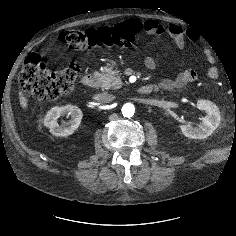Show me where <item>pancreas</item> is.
<instances>
[{
	"label": "pancreas",
	"mask_w": 236,
	"mask_h": 236,
	"mask_svg": "<svg viewBox=\"0 0 236 236\" xmlns=\"http://www.w3.org/2000/svg\"><path fill=\"white\" fill-rule=\"evenodd\" d=\"M119 72L117 69L105 67L101 73L97 74L98 86L103 90L120 88L122 81L118 76Z\"/></svg>",
	"instance_id": "cf45deb5"
}]
</instances>
